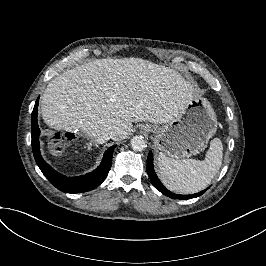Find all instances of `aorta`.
I'll return each mask as SVG.
<instances>
[{
    "label": "aorta",
    "instance_id": "aorta-1",
    "mask_svg": "<svg viewBox=\"0 0 266 266\" xmlns=\"http://www.w3.org/2000/svg\"><path fill=\"white\" fill-rule=\"evenodd\" d=\"M130 145L134 151H143L146 148V140L142 136L132 138Z\"/></svg>",
    "mask_w": 266,
    "mask_h": 266
}]
</instances>
